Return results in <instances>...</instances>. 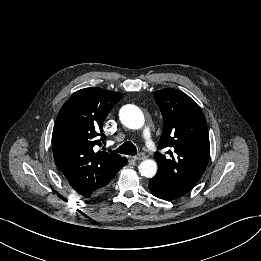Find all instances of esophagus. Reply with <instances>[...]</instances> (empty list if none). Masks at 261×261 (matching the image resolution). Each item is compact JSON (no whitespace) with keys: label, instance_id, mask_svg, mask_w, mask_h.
Returning <instances> with one entry per match:
<instances>
[{"label":"esophagus","instance_id":"obj_1","mask_svg":"<svg viewBox=\"0 0 261 261\" xmlns=\"http://www.w3.org/2000/svg\"><path fill=\"white\" fill-rule=\"evenodd\" d=\"M146 158L144 153H138L136 156L133 157L134 160H144Z\"/></svg>","mask_w":261,"mask_h":261}]
</instances>
